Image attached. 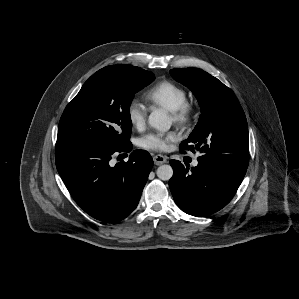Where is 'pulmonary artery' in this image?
<instances>
[{"label": "pulmonary artery", "instance_id": "1", "mask_svg": "<svg viewBox=\"0 0 299 299\" xmlns=\"http://www.w3.org/2000/svg\"><path fill=\"white\" fill-rule=\"evenodd\" d=\"M192 164H193V166H197L198 165V161L194 160Z\"/></svg>", "mask_w": 299, "mask_h": 299}]
</instances>
